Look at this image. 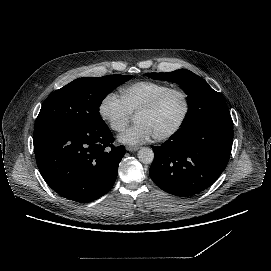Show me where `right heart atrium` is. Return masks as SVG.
Returning <instances> with one entry per match:
<instances>
[{"label": "right heart atrium", "mask_w": 271, "mask_h": 271, "mask_svg": "<svg viewBox=\"0 0 271 271\" xmlns=\"http://www.w3.org/2000/svg\"><path fill=\"white\" fill-rule=\"evenodd\" d=\"M97 111L100 119L116 133L123 132L132 118L122 99L114 91H109L102 97Z\"/></svg>", "instance_id": "1"}]
</instances>
